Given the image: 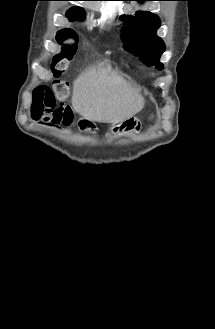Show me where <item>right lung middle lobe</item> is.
I'll return each mask as SVG.
<instances>
[{"label": "right lung middle lobe", "mask_w": 215, "mask_h": 329, "mask_svg": "<svg viewBox=\"0 0 215 329\" xmlns=\"http://www.w3.org/2000/svg\"><path fill=\"white\" fill-rule=\"evenodd\" d=\"M70 20H71V19H70ZM73 20H79V21H82L80 18H74ZM62 32L69 34L70 31L66 30V31H62ZM59 36H60V35H58V37H59Z\"/></svg>", "instance_id": "right-lung-middle-lobe-1"}]
</instances>
